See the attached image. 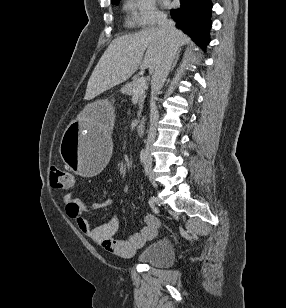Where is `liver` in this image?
I'll use <instances>...</instances> for the list:
<instances>
[{"label": "liver", "instance_id": "liver-1", "mask_svg": "<svg viewBox=\"0 0 286 308\" xmlns=\"http://www.w3.org/2000/svg\"><path fill=\"white\" fill-rule=\"evenodd\" d=\"M178 47L191 42L182 31L177 30ZM165 48V33L150 28L138 33L114 39L97 63L87 84L85 99H93L101 93L128 80L136 70L149 69L152 73ZM90 107L85 111L89 117ZM95 121L94 115L90 117Z\"/></svg>", "mask_w": 286, "mask_h": 308}]
</instances>
